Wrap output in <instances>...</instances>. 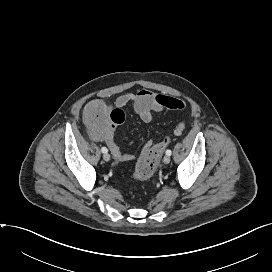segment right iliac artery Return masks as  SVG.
I'll return each instance as SVG.
<instances>
[{"label":"right iliac artery","instance_id":"82829eb1","mask_svg":"<svg viewBox=\"0 0 272 272\" xmlns=\"http://www.w3.org/2000/svg\"><path fill=\"white\" fill-rule=\"evenodd\" d=\"M101 151H102L103 153H107V152H108V149H107L106 147H102V148H101Z\"/></svg>","mask_w":272,"mask_h":272}]
</instances>
